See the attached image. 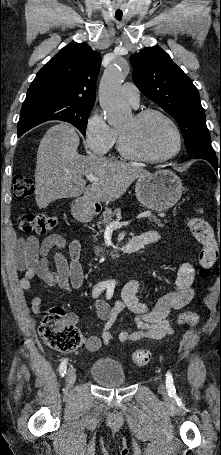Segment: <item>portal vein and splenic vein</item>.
Wrapping results in <instances>:
<instances>
[{"label":"portal vein and splenic vein","mask_w":221,"mask_h":455,"mask_svg":"<svg viewBox=\"0 0 221 455\" xmlns=\"http://www.w3.org/2000/svg\"><path fill=\"white\" fill-rule=\"evenodd\" d=\"M86 178L89 180V181H98V178L95 177L94 175L92 174H87L86 175ZM152 216V214L150 212H143L141 214H139L137 216V219H141V218H145V217H150ZM131 221H124V222H119V221H112V222H109L108 223V226L110 228H114V229H117V228H121L123 226H127L130 224Z\"/></svg>","instance_id":"obj_1"}]
</instances>
